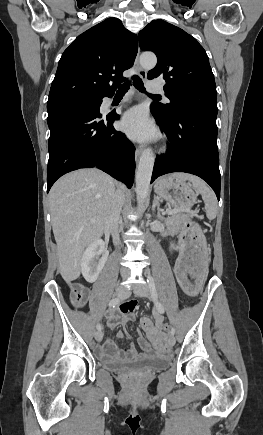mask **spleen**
<instances>
[{"instance_id": "obj_1", "label": "spleen", "mask_w": 263, "mask_h": 435, "mask_svg": "<svg viewBox=\"0 0 263 435\" xmlns=\"http://www.w3.org/2000/svg\"><path fill=\"white\" fill-rule=\"evenodd\" d=\"M170 177L177 180L186 181L192 183V186L197 189L198 193L202 195L204 200L206 215L208 219L213 220L217 213V200L214 193L210 188L197 176L187 174V173H174Z\"/></svg>"}]
</instances>
